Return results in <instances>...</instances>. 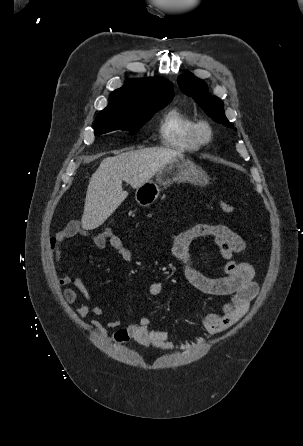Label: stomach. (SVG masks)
I'll return each instance as SVG.
<instances>
[{"label":"stomach","instance_id":"obj_1","mask_svg":"<svg viewBox=\"0 0 303 446\" xmlns=\"http://www.w3.org/2000/svg\"><path fill=\"white\" fill-rule=\"evenodd\" d=\"M155 177V181L149 180L136 189L135 200L140 206L153 204L159 197L160 186L166 187L175 182H189L199 186L208 183L207 173L183 156L163 166Z\"/></svg>","mask_w":303,"mask_h":446}]
</instances>
